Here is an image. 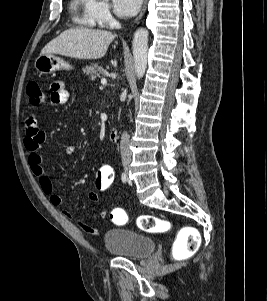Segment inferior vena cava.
Wrapping results in <instances>:
<instances>
[{
  "mask_svg": "<svg viewBox=\"0 0 267 301\" xmlns=\"http://www.w3.org/2000/svg\"><path fill=\"white\" fill-rule=\"evenodd\" d=\"M121 25L116 22L115 28L119 29ZM120 153H121V159L123 164H129L131 161V152L129 149V135L127 132H124L121 136L120 141Z\"/></svg>",
  "mask_w": 267,
  "mask_h": 301,
  "instance_id": "1",
  "label": "inferior vena cava"
}]
</instances>
